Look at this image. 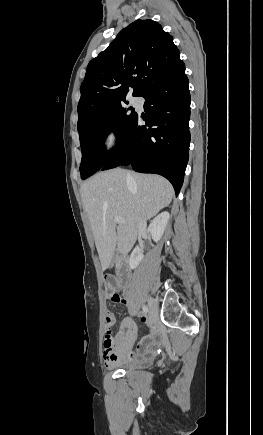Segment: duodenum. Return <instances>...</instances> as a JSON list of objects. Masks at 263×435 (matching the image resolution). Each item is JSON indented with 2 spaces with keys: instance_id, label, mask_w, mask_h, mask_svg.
<instances>
[{
  "instance_id": "duodenum-1",
  "label": "duodenum",
  "mask_w": 263,
  "mask_h": 435,
  "mask_svg": "<svg viewBox=\"0 0 263 435\" xmlns=\"http://www.w3.org/2000/svg\"><path fill=\"white\" fill-rule=\"evenodd\" d=\"M118 272L120 274L121 280L126 282L127 279V268H126V260L124 257H119L117 261Z\"/></svg>"
}]
</instances>
